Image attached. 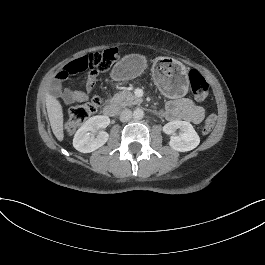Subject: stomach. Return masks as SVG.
Returning <instances> with one entry per match:
<instances>
[{"label": "stomach", "mask_w": 265, "mask_h": 265, "mask_svg": "<svg viewBox=\"0 0 265 265\" xmlns=\"http://www.w3.org/2000/svg\"><path fill=\"white\" fill-rule=\"evenodd\" d=\"M145 58L131 54L123 57L113 68L111 76L118 81L130 80L146 69ZM157 87L170 98H179L188 92V71L180 61L170 57H158L152 67Z\"/></svg>", "instance_id": "stomach-1"}]
</instances>
